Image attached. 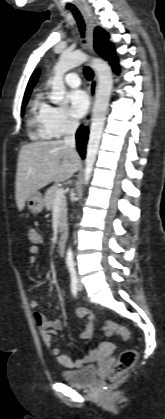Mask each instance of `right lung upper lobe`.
<instances>
[{
	"instance_id": "1",
	"label": "right lung upper lobe",
	"mask_w": 165,
	"mask_h": 419,
	"mask_svg": "<svg viewBox=\"0 0 165 419\" xmlns=\"http://www.w3.org/2000/svg\"><path fill=\"white\" fill-rule=\"evenodd\" d=\"M38 76H39V70H36V71L32 74V76H31V78H30V80H29V82H28V85H27V88H26V91H25L24 98H25V97H29V95H30V93H31V91H32V88L34 87V85H35V84H36V82H37Z\"/></svg>"
}]
</instances>
